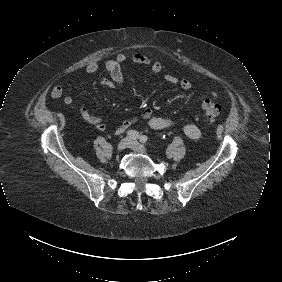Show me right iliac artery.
Returning <instances> with one entry per match:
<instances>
[{"instance_id": "1", "label": "right iliac artery", "mask_w": 282, "mask_h": 282, "mask_svg": "<svg viewBox=\"0 0 282 282\" xmlns=\"http://www.w3.org/2000/svg\"><path fill=\"white\" fill-rule=\"evenodd\" d=\"M127 136H129L131 139H137L139 138V133L136 130H129L127 132Z\"/></svg>"}]
</instances>
